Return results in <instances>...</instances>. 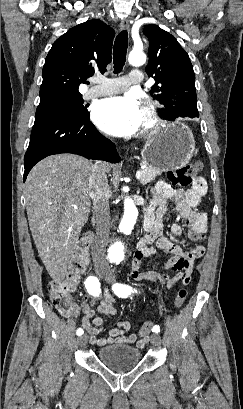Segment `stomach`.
Listing matches in <instances>:
<instances>
[{"label": "stomach", "mask_w": 243, "mask_h": 409, "mask_svg": "<svg viewBox=\"0 0 243 409\" xmlns=\"http://www.w3.org/2000/svg\"><path fill=\"white\" fill-rule=\"evenodd\" d=\"M195 140L189 127L179 121L149 137L141 150L143 162L160 172L176 170L191 160Z\"/></svg>", "instance_id": "stomach-1"}]
</instances>
